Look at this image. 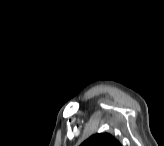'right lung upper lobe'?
Listing matches in <instances>:
<instances>
[{
  "mask_svg": "<svg viewBox=\"0 0 164 146\" xmlns=\"http://www.w3.org/2000/svg\"><path fill=\"white\" fill-rule=\"evenodd\" d=\"M81 146H120L119 141L108 133L94 134L84 141Z\"/></svg>",
  "mask_w": 164,
  "mask_h": 146,
  "instance_id": "cb5924a9",
  "label": "right lung upper lobe"
}]
</instances>
